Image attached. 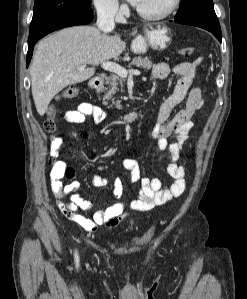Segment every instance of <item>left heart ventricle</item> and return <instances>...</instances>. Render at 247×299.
I'll return each mask as SVG.
<instances>
[{
	"label": "left heart ventricle",
	"instance_id": "1",
	"mask_svg": "<svg viewBox=\"0 0 247 299\" xmlns=\"http://www.w3.org/2000/svg\"><path fill=\"white\" fill-rule=\"evenodd\" d=\"M169 1L170 0H141L137 8L145 12H158L163 10Z\"/></svg>",
	"mask_w": 247,
	"mask_h": 299
}]
</instances>
